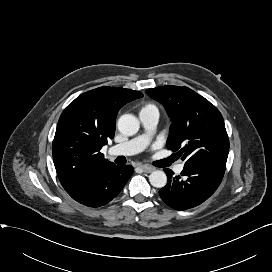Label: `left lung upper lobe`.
<instances>
[{"instance_id": "left-lung-upper-lobe-1", "label": "left lung upper lobe", "mask_w": 272, "mask_h": 272, "mask_svg": "<svg viewBox=\"0 0 272 272\" xmlns=\"http://www.w3.org/2000/svg\"><path fill=\"white\" fill-rule=\"evenodd\" d=\"M172 120L167 148L177 152L185 165H225L229 139L223 117L207 99L188 87L160 86L147 90Z\"/></svg>"}]
</instances>
